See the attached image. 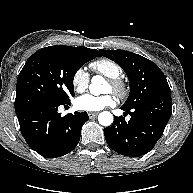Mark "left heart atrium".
<instances>
[{"instance_id": "obj_1", "label": "left heart atrium", "mask_w": 193, "mask_h": 193, "mask_svg": "<svg viewBox=\"0 0 193 193\" xmlns=\"http://www.w3.org/2000/svg\"><path fill=\"white\" fill-rule=\"evenodd\" d=\"M115 99L111 94L102 96H94L91 94H84L75 100V107L81 111L95 112L100 111L106 107L113 106Z\"/></svg>"}]
</instances>
